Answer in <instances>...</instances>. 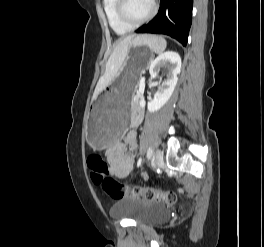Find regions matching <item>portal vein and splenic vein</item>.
<instances>
[{"label":"portal vein and splenic vein","mask_w":264,"mask_h":247,"mask_svg":"<svg viewBox=\"0 0 264 247\" xmlns=\"http://www.w3.org/2000/svg\"><path fill=\"white\" fill-rule=\"evenodd\" d=\"M144 81V77L143 76H141V82H143Z\"/></svg>","instance_id":"18ae733b"}]
</instances>
